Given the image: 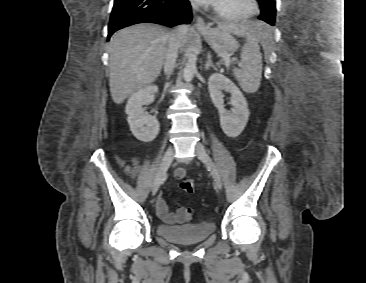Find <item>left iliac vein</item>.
Returning <instances> with one entry per match:
<instances>
[{"label": "left iliac vein", "mask_w": 366, "mask_h": 283, "mask_svg": "<svg viewBox=\"0 0 366 283\" xmlns=\"http://www.w3.org/2000/svg\"><path fill=\"white\" fill-rule=\"evenodd\" d=\"M195 153L200 161H202L204 164L207 165V167L210 169V172L213 176L214 182L216 186L221 189L222 188V180L220 173L213 162V160L210 158L209 154L206 152L204 146L201 143H197L195 146Z\"/></svg>", "instance_id": "4c4485c4"}]
</instances>
